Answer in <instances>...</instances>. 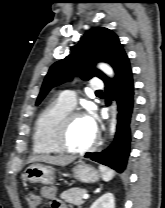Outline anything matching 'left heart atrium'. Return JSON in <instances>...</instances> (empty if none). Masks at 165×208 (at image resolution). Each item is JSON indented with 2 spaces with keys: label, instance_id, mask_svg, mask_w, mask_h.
<instances>
[{
  "label": "left heart atrium",
  "instance_id": "left-heart-atrium-1",
  "mask_svg": "<svg viewBox=\"0 0 165 208\" xmlns=\"http://www.w3.org/2000/svg\"><path fill=\"white\" fill-rule=\"evenodd\" d=\"M86 118H87V122L89 124L90 129L92 130V132L94 134H96V131H97V123H96L95 118L92 115H88V116H86Z\"/></svg>",
  "mask_w": 165,
  "mask_h": 208
}]
</instances>
